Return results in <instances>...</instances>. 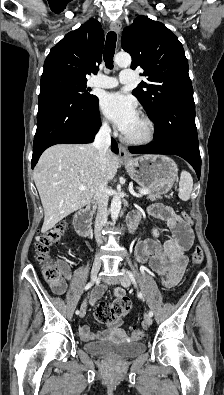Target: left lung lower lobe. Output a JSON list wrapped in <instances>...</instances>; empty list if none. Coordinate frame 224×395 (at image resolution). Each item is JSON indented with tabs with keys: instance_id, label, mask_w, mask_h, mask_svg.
Here are the masks:
<instances>
[{
	"instance_id": "left-lung-lower-lobe-1",
	"label": "left lung lower lobe",
	"mask_w": 224,
	"mask_h": 395,
	"mask_svg": "<svg viewBox=\"0 0 224 395\" xmlns=\"http://www.w3.org/2000/svg\"><path fill=\"white\" fill-rule=\"evenodd\" d=\"M150 119L156 125L155 141L147 146L130 147L129 151L135 154L178 155L193 166L199 179L201 157L195 125L194 100H179L166 104Z\"/></svg>"
}]
</instances>
